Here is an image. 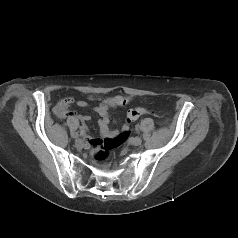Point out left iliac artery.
I'll use <instances>...</instances> for the list:
<instances>
[{"label":"left iliac artery","mask_w":238,"mask_h":238,"mask_svg":"<svg viewBox=\"0 0 238 238\" xmlns=\"http://www.w3.org/2000/svg\"><path fill=\"white\" fill-rule=\"evenodd\" d=\"M142 137H143V139L147 140V139H149L150 136H149V134L145 133V134H143Z\"/></svg>","instance_id":"obj_1"}]
</instances>
